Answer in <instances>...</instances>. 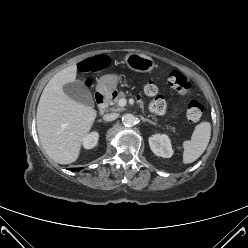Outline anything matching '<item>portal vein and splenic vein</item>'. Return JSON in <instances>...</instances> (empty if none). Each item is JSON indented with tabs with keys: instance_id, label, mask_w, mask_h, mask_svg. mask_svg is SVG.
Returning <instances> with one entry per match:
<instances>
[{
	"instance_id": "1",
	"label": "portal vein and splenic vein",
	"mask_w": 248,
	"mask_h": 248,
	"mask_svg": "<svg viewBox=\"0 0 248 248\" xmlns=\"http://www.w3.org/2000/svg\"><path fill=\"white\" fill-rule=\"evenodd\" d=\"M126 103H127V100L125 98H122V99L119 100L118 105L120 107H124L126 105Z\"/></svg>"
}]
</instances>
